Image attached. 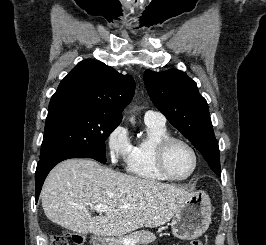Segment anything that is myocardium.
I'll use <instances>...</instances> for the list:
<instances>
[{"label":"myocardium","instance_id":"f54148a6","mask_svg":"<svg viewBox=\"0 0 266 245\" xmlns=\"http://www.w3.org/2000/svg\"><path fill=\"white\" fill-rule=\"evenodd\" d=\"M175 142H180V143L186 145L192 151V153L194 155L195 162H194L193 169L187 176H185L183 178H175L169 172L167 165H166L167 151H168L169 147ZM155 161H156V165H157L159 172L167 180L174 181V182H184V181L191 179L195 175V173L197 172L198 167H199L200 158H199V153H198L197 149L194 147V145L192 143H190L188 140H186L182 137L170 135V136H167V137L163 138L162 140H160L159 143L157 144L156 149H155Z\"/></svg>","mask_w":266,"mask_h":245}]
</instances>
